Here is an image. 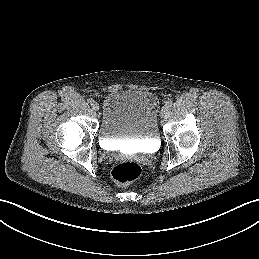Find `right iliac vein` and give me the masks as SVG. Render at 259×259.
Segmentation results:
<instances>
[{
    "label": "right iliac vein",
    "instance_id": "63e3f726",
    "mask_svg": "<svg viewBox=\"0 0 259 259\" xmlns=\"http://www.w3.org/2000/svg\"><path fill=\"white\" fill-rule=\"evenodd\" d=\"M92 109H93L94 111H98V110H99V104L96 103V102H94V103L92 104Z\"/></svg>",
    "mask_w": 259,
    "mask_h": 259
}]
</instances>
